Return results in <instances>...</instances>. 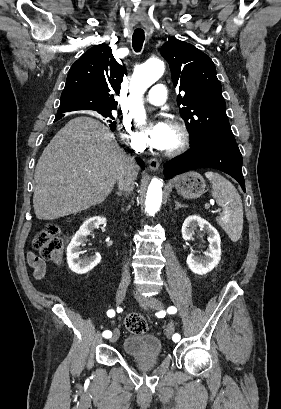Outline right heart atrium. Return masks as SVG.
Segmentation results:
<instances>
[{"instance_id":"right-heart-atrium-1","label":"right heart atrium","mask_w":281,"mask_h":409,"mask_svg":"<svg viewBox=\"0 0 281 409\" xmlns=\"http://www.w3.org/2000/svg\"><path fill=\"white\" fill-rule=\"evenodd\" d=\"M131 118L132 122L129 121L123 125L121 138L123 143L129 146L131 149L135 151H142L144 149V145L133 129V122L134 124H140L143 114L131 115Z\"/></svg>"}]
</instances>
